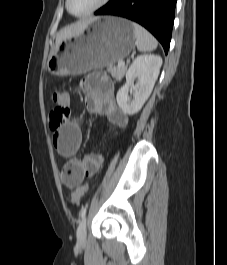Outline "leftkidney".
Segmentation results:
<instances>
[{
    "label": "left kidney",
    "instance_id": "obj_1",
    "mask_svg": "<svg viewBox=\"0 0 227 265\" xmlns=\"http://www.w3.org/2000/svg\"><path fill=\"white\" fill-rule=\"evenodd\" d=\"M162 58L158 55H140L126 73V84L122 86L116 96L118 106L128 115L138 113L149 98L158 78ZM138 78V91L133 99L129 97V87Z\"/></svg>",
    "mask_w": 227,
    "mask_h": 265
}]
</instances>
